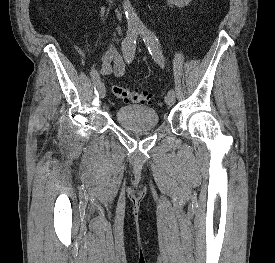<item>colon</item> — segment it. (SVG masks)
<instances>
[{
    "mask_svg": "<svg viewBox=\"0 0 275 263\" xmlns=\"http://www.w3.org/2000/svg\"><path fill=\"white\" fill-rule=\"evenodd\" d=\"M113 93L121 100L138 104H149L153 101V95L149 92L138 91L120 85H115L113 87Z\"/></svg>",
    "mask_w": 275,
    "mask_h": 263,
    "instance_id": "obj_1",
    "label": "colon"
}]
</instances>
